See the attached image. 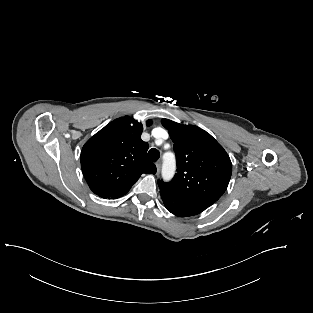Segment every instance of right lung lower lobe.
I'll use <instances>...</instances> for the list:
<instances>
[{
  "label": "right lung lower lobe",
  "instance_id": "98d812e1",
  "mask_svg": "<svg viewBox=\"0 0 313 313\" xmlns=\"http://www.w3.org/2000/svg\"><path fill=\"white\" fill-rule=\"evenodd\" d=\"M124 194H126V193H124ZM124 194H120V195H118V196H115V197H114V198H112V199L119 198V197L123 196Z\"/></svg>",
  "mask_w": 313,
  "mask_h": 313
}]
</instances>
